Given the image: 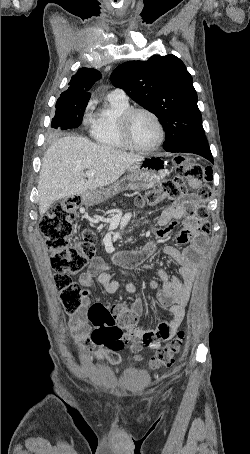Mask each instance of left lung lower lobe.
I'll return each mask as SVG.
<instances>
[{
  "mask_svg": "<svg viewBox=\"0 0 250 454\" xmlns=\"http://www.w3.org/2000/svg\"><path fill=\"white\" fill-rule=\"evenodd\" d=\"M166 152L194 153L214 163L213 156L211 154L210 147L208 145L205 135L192 138L175 148L166 150Z\"/></svg>",
  "mask_w": 250,
  "mask_h": 454,
  "instance_id": "1",
  "label": "left lung lower lobe"
}]
</instances>
